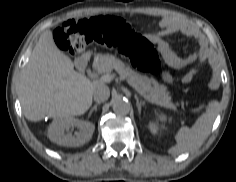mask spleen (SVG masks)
Wrapping results in <instances>:
<instances>
[{
  "label": "spleen",
  "instance_id": "1",
  "mask_svg": "<svg viewBox=\"0 0 236 182\" xmlns=\"http://www.w3.org/2000/svg\"><path fill=\"white\" fill-rule=\"evenodd\" d=\"M217 109L218 102H210L205 113L197 119L191 128H180L175 136L176 145L172 146L168 152L173 155H179L199 148L210 133L217 115Z\"/></svg>",
  "mask_w": 236,
  "mask_h": 182
}]
</instances>
